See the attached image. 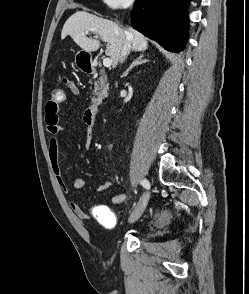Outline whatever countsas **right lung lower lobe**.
Instances as JSON below:
<instances>
[{"label": "right lung lower lobe", "instance_id": "obj_1", "mask_svg": "<svg viewBox=\"0 0 249 294\" xmlns=\"http://www.w3.org/2000/svg\"><path fill=\"white\" fill-rule=\"evenodd\" d=\"M190 0H136L131 24L136 30L165 49L179 52L187 41L188 15L184 12Z\"/></svg>", "mask_w": 249, "mask_h": 294}]
</instances>
